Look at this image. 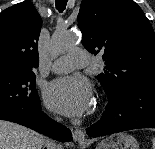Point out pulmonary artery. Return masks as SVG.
I'll list each match as a JSON object with an SVG mask.
<instances>
[{
  "label": "pulmonary artery",
  "mask_w": 155,
  "mask_h": 149,
  "mask_svg": "<svg viewBox=\"0 0 155 149\" xmlns=\"http://www.w3.org/2000/svg\"><path fill=\"white\" fill-rule=\"evenodd\" d=\"M88 63V52L84 49H75L54 61L51 70L54 73H67L75 68L84 67Z\"/></svg>",
  "instance_id": "obj_1"
}]
</instances>
